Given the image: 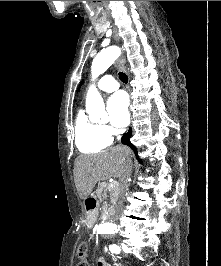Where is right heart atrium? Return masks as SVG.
<instances>
[{"instance_id": "1", "label": "right heart atrium", "mask_w": 221, "mask_h": 266, "mask_svg": "<svg viewBox=\"0 0 221 266\" xmlns=\"http://www.w3.org/2000/svg\"><path fill=\"white\" fill-rule=\"evenodd\" d=\"M104 134L110 139L113 134V129L107 125L102 126Z\"/></svg>"}]
</instances>
